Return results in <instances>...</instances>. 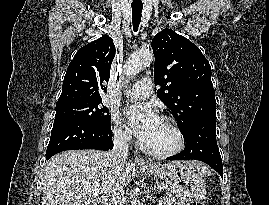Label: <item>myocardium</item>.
I'll return each instance as SVG.
<instances>
[{"instance_id": "f54148a6", "label": "myocardium", "mask_w": 269, "mask_h": 205, "mask_svg": "<svg viewBox=\"0 0 269 205\" xmlns=\"http://www.w3.org/2000/svg\"><path fill=\"white\" fill-rule=\"evenodd\" d=\"M162 121H165L170 126L176 137V145L165 151H156L148 148L146 145L143 146V151L154 158H168L180 153L185 147V136L180 128L178 122L171 116L164 115L161 117Z\"/></svg>"}]
</instances>
